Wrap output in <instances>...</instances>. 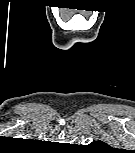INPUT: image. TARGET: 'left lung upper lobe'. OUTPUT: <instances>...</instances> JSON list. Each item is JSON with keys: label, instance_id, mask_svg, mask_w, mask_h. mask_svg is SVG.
Segmentation results:
<instances>
[{"label": "left lung upper lobe", "instance_id": "1", "mask_svg": "<svg viewBox=\"0 0 135 153\" xmlns=\"http://www.w3.org/2000/svg\"><path fill=\"white\" fill-rule=\"evenodd\" d=\"M93 145H94V146H99V147L107 146L104 142H101V141L94 142Z\"/></svg>", "mask_w": 135, "mask_h": 153}]
</instances>
